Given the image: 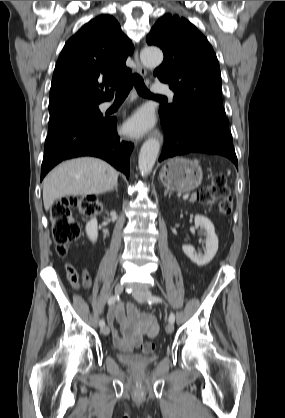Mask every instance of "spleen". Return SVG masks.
<instances>
[{
  "mask_svg": "<svg viewBox=\"0 0 285 418\" xmlns=\"http://www.w3.org/2000/svg\"><path fill=\"white\" fill-rule=\"evenodd\" d=\"M194 162H195V163H198V160H195Z\"/></svg>",
  "mask_w": 285,
  "mask_h": 418,
  "instance_id": "1",
  "label": "spleen"
}]
</instances>
